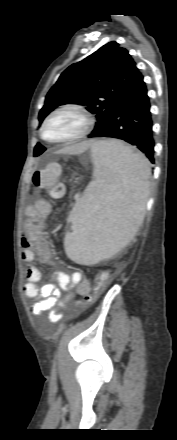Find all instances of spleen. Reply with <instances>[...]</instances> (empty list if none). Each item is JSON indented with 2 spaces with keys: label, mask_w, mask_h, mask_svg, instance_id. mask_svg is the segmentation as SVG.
<instances>
[{
  "label": "spleen",
  "mask_w": 177,
  "mask_h": 440,
  "mask_svg": "<svg viewBox=\"0 0 177 440\" xmlns=\"http://www.w3.org/2000/svg\"><path fill=\"white\" fill-rule=\"evenodd\" d=\"M95 180L76 203L66 232L67 256L79 264L112 257L134 237L143 222L150 176L149 161L117 141L92 147Z\"/></svg>",
  "instance_id": "1"
}]
</instances>
